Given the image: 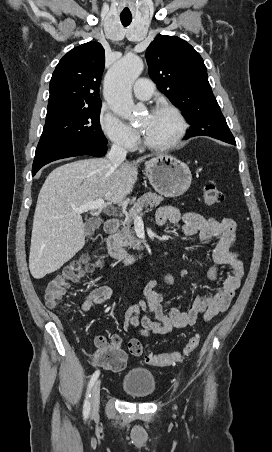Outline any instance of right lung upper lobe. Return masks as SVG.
<instances>
[{
    "label": "right lung upper lobe",
    "mask_w": 272,
    "mask_h": 452,
    "mask_svg": "<svg viewBox=\"0 0 272 452\" xmlns=\"http://www.w3.org/2000/svg\"><path fill=\"white\" fill-rule=\"evenodd\" d=\"M104 64L105 50L94 41L75 47L63 56L50 80L47 114L101 106L99 86Z\"/></svg>",
    "instance_id": "cb5924a9"
}]
</instances>
